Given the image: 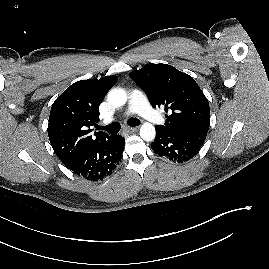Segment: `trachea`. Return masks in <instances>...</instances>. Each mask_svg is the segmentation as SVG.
I'll use <instances>...</instances> for the list:
<instances>
[{
	"instance_id": "obj_1",
	"label": "trachea",
	"mask_w": 269,
	"mask_h": 269,
	"mask_svg": "<svg viewBox=\"0 0 269 269\" xmlns=\"http://www.w3.org/2000/svg\"><path fill=\"white\" fill-rule=\"evenodd\" d=\"M127 124L131 127H135V126H138L140 125V120L137 119V118H130L128 121H127ZM99 129L101 130H105L107 131L109 134H116L119 132L120 128H121V125L119 122H113L107 126H101V127H98Z\"/></svg>"
}]
</instances>
